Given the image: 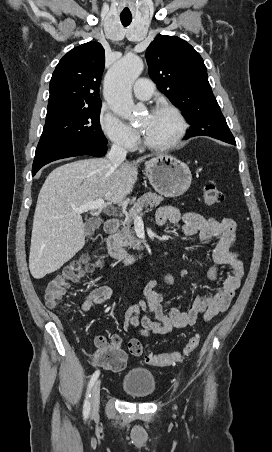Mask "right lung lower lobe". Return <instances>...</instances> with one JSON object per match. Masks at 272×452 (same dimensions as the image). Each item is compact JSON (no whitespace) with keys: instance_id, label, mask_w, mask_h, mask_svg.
<instances>
[{"instance_id":"obj_1","label":"right lung lower lobe","mask_w":272,"mask_h":452,"mask_svg":"<svg viewBox=\"0 0 272 452\" xmlns=\"http://www.w3.org/2000/svg\"><path fill=\"white\" fill-rule=\"evenodd\" d=\"M106 152V144L96 146L86 143H70L60 146L37 147L32 167V176H34L44 165L58 159L80 155L102 157Z\"/></svg>"}]
</instances>
